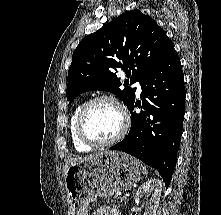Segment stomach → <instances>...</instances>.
I'll list each match as a JSON object with an SVG mask.
<instances>
[{
	"label": "stomach",
	"mask_w": 221,
	"mask_h": 215,
	"mask_svg": "<svg viewBox=\"0 0 221 215\" xmlns=\"http://www.w3.org/2000/svg\"><path fill=\"white\" fill-rule=\"evenodd\" d=\"M142 164L128 154L105 151L70 165L65 175L68 215H88L98 197L128 190L140 180Z\"/></svg>",
	"instance_id": "0dacf381"
}]
</instances>
